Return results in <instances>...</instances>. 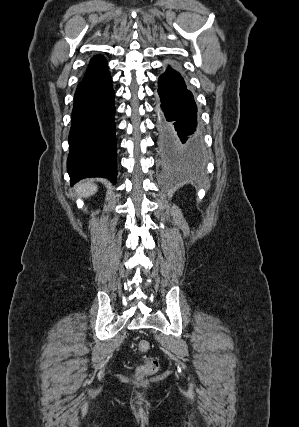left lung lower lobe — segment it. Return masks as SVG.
<instances>
[{"label":"left lung lower lobe","instance_id":"0a47b994","mask_svg":"<svg viewBox=\"0 0 299 427\" xmlns=\"http://www.w3.org/2000/svg\"><path fill=\"white\" fill-rule=\"evenodd\" d=\"M156 106L159 150L165 160L200 159L202 138L197 107L181 74L168 67L158 79Z\"/></svg>","mask_w":299,"mask_h":427}]
</instances>
